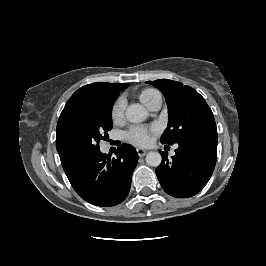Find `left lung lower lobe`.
Segmentation results:
<instances>
[{
    "mask_svg": "<svg viewBox=\"0 0 266 266\" xmlns=\"http://www.w3.org/2000/svg\"><path fill=\"white\" fill-rule=\"evenodd\" d=\"M156 169L164 191L187 198L200 192L209 181L216 164L217 138L206 137L178 143L172 161L162 152Z\"/></svg>",
    "mask_w": 266,
    "mask_h": 266,
    "instance_id": "obj_1",
    "label": "left lung lower lobe"
}]
</instances>
